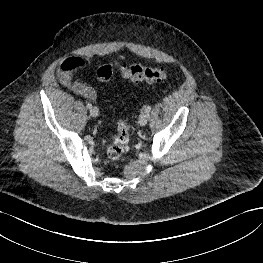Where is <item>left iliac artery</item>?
<instances>
[{"mask_svg":"<svg viewBox=\"0 0 263 263\" xmlns=\"http://www.w3.org/2000/svg\"><path fill=\"white\" fill-rule=\"evenodd\" d=\"M145 111L149 113V112L151 111V106H149V105L146 106V107H145Z\"/></svg>","mask_w":263,"mask_h":263,"instance_id":"left-iliac-artery-1","label":"left iliac artery"}]
</instances>
